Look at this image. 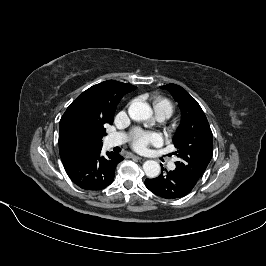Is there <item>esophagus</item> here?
<instances>
[{"mask_svg":"<svg viewBox=\"0 0 266 266\" xmlns=\"http://www.w3.org/2000/svg\"><path fill=\"white\" fill-rule=\"evenodd\" d=\"M130 157H131V158H135V159H137V160H141V159H143L142 157L137 156V155H134V154H131Z\"/></svg>","mask_w":266,"mask_h":266,"instance_id":"obj_1","label":"esophagus"}]
</instances>
